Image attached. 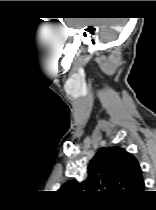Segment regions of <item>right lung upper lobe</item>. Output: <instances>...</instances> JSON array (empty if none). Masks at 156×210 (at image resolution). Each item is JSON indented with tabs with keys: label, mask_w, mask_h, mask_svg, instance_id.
Wrapping results in <instances>:
<instances>
[{
	"label": "right lung upper lobe",
	"mask_w": 156,
	"mask_h": 210,
	"mask_svg": "<svg viewBox=\"0 0 156 210\" xmlns=\"http://www.w3.org/2000/svg\"><path fill=\"white\" fill-rule=\"evenodd\" d=\"M87 178L72 180L60 190H75L88 198L132 200L144 192L137 159L121 147L101 148L91 160Z\"/></svg>",
	"instance_id": "cb5924a9"
}]
</instances>
